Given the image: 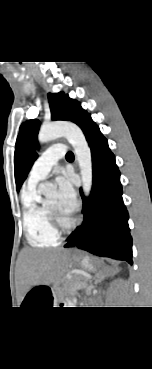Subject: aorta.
<instances>
[{"mask_svg": "<svg viewBox=\"0 0 152 369\" xmlns=\"http://www.w3.org/2000/svg\"><path fill=\"white\" fill-rule=\"evenodd\" d=\"M65 137L73 146L76 159L79 164L82 179V188L85 196H89L92 188V156L90 147L82 130L70 122H58L43 125L38 134L40 144L46 143L58 137ZM39 191L47 197L56 193V186L50 182L40 184Z\"/></svg>", "mask_w": 152, "mask_h": 369, "instance_id": "1", "label": "aorta"}]
</instances>
